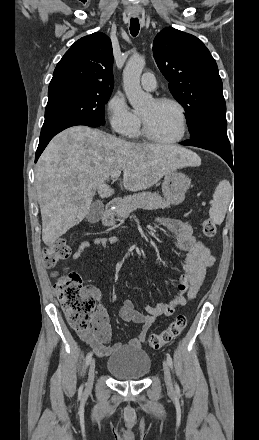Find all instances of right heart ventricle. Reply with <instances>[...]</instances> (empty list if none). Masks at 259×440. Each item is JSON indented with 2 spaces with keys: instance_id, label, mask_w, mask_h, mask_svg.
<instances>
[{
  "instance_id": "1",
  "label": "right heart ventricle",
  "mask_w": 259,
  "mask_h": 440,
  "mask_svg": "<svg viewBox=\"0 0 259 440\" xmlns=\"http://www.w3.org/2000/svg\"><path fill=\"white\" fill-rule=\"evenodd\" d=\"M140 120V119H139ZM132 137H139L141 135V130H140V121L139 124L135 127V129L132 131V133L130 134Z\"/></svg>"
}]
</instances>
